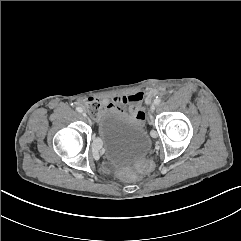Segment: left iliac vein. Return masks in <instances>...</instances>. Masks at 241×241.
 Here are the masks:
<instances>
[{
	"mask_svg": "<svg viewBox=\"0 0 241 241\" xmlns=\"http://www.w3.org/2000/svg\"><path fill=\"white\" fill-rule=\"evenodd\" d=\"M150 111H151V112H154V111H155V105H151Z\"/></svg>",
	"mask_w": 241,
	"mask_h": 241,
	"instance_id": "4c4485c4",
	"label": "left iliac vein"
}]
</instances>
